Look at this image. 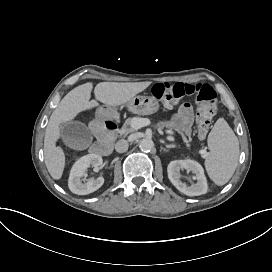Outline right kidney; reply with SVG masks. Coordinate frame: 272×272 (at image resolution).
I'll return each mask as SVG.
<instances>
[{
    "instance_id": "1",
    "label": "right kidney",
    "mask_w": 272,
    "mask_h": 272,
    "mask_svg": "<svg viewBox=\"0 0 272 272\" xmlns=\"http://www.w3.org/2000/svg\"><path fill=\"white\" fill-rule=\"evenodd\" d=\"M102 164V157L97 154H88L79 158L72 166L68 187L70 191L77 195H88L97 191L103 184L104 179L102 177L92 178L87 183L81 181V177L86 174L89 167H93L94 171H99Z\"/></svg>"
}]
</instances>
